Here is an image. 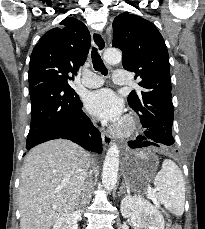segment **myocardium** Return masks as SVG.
I'll return each instance as SVG.
<instances>
[{
	"mask_svg": "<svg viewBox=\"0 0 205 229\" xmlns=\"http://www.w3.org/2000/svg\"><path fill=\"white\" fill-rule=\"evenodd\" d=\"M135 128V120L132 116H126L120 124L114 128V133L121 136L129 135Z\"/></svg>",
	"mask_w": 205,
	"mask_h": 229,
	"instance_id": "myocardium-1",
	"label": "myocardium"
}]
</instances>
